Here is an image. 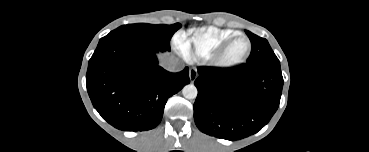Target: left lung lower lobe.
Wrapping results in <instances>:
<instances>
[{
	"label": "left lung lower lobe",
	"mask_w": 369,
	"mask_h": 152,
	"mask_svg": "<svg viewBox=\"0 0 369 152\" xmlns=\"http://www.w3.org/2000/svg\"><path fill=\"white\" fill-rule=\"evenodd\" d=\"M198 73L194 120L203 133L239 140L261 130L278 109L284 82L280 63Z\"/></svg>",
	"instance_id": "left-lung-lower-lobe-1"
}]
</instances>
